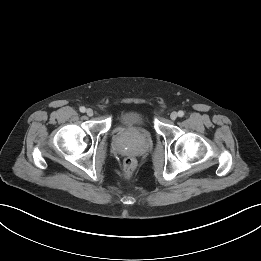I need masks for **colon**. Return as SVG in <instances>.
I'll return each mask as SVG.
<instances>
[{
    "instance_id": "colon-1",
    "label": "colon",
    "mask_w": 261,
    "mask_h": 261,
    "mask_svg": "<svg viewBox=\"0 0 261 261\" xmlns=\"http://www.w3.org/2000/svg\"><path fill=\"white\" fill-rule=\"evenodd\" d=\"M136 168V160L134 158H126L124 160L123 169L125 174L130 175Z\"/></svg>"
}]
</instances>
